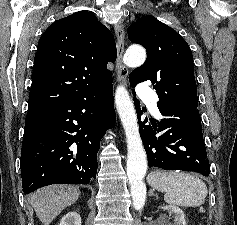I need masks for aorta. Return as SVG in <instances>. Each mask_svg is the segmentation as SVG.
<instances>
[{
    "instance_id": "aorta-1",
    "label": "aorta",
    "mask_w": 237,
    "mask_h": 225,
    "mask_svg": "<svg viewBox=\"0 0 237 225\" xmlns=\"http://www.w3.org/2000/svg\"><path fill=\"white\" fill-rule=\"evenodd\" d=\"M146 59V51L138 45L130 46L123 57L129 67L141 66ZM115 106L125 130L127 143V178L130 185L133 203L140 208L145 201L146 186L143 178L147 171V157L137 124V116L128 91L119 86L115 92Z\"/></svg>"
}]
</instances>
